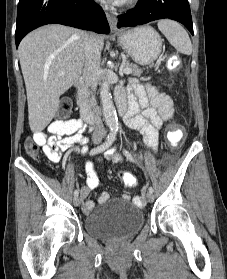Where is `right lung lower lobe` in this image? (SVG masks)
<instances>
[{
    "instance_id": "obj_1",
    "label": "right lung lower lobe",
    "mask_w": 227,
    "mask_h": 279,
    "mask_svg": "<svg viewBox=\"0 0 227 279\" xmlns=\"http://www.w3.org/2000/svg\"><path fill=\"white\" fill-rule=\"evenodd\" d=\"M52 23L103 34L110 32L104 12L93 0H20L15 32L16 47L30 31Z\"/></svg>"
}]
</instances>
